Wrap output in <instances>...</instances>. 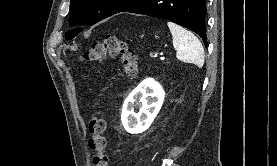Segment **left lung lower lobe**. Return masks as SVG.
<instances>
[{"label": "left lung lower lobe", "instance_id": "1", "mask_svg": "<svg viewBox=\"0 0 277 166\" xmlns=\"http://www.w3.org/2000/svg\"><path fill=\"white\" fill-rule=\"evenodd\" d=\"M119 12L173 21L197 33L207 46L205 0H135Z\"/></svg>", "mask_w": 277, "mask_h": 166}]
</instances>
